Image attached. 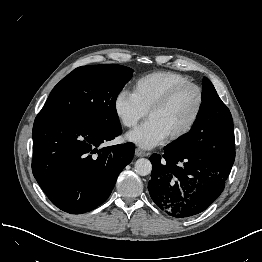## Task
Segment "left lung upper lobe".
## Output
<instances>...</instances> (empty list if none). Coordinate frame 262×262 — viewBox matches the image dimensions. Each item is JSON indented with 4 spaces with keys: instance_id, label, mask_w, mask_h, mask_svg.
Masks as SVG:
<instances>
[{
    "instance_id": "left-lung-upper-lobe-1",
    "label": "left lung upper lobe",
    "mask_w": 262,
    "mask_h": 262,
    "mask_svg": "<svg viewBox=\"0 0 262 262\" xmlns=\"http://www.w3.org/2000/svg\"><path fill=\"white\" fill-rule=\"evenodd\" d=\"M202 86V103L190 132L168 147L177 152L220 158L234 144L233 120L208 78H203Z\"/></svg>"
}]
</instances>
